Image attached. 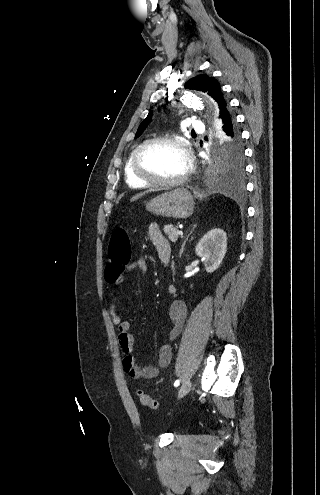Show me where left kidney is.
I'll list each match as a JSON object with an SVG mask.
<instances>
[{"label": "left kidney", "instance_id": "obj_1", "mask_svg": "<svg viewBox=\"0 0 320 495\" xmlns=\"http://www.w3.org/2000/svg\"><path fill=\"white\" fill-rule=\"evenodd\" d=\"M227 251V236L222 229H212L198 242L195 252L204 262L207 272H214Z\"/></svg>", "mask_w": 320, "mask_h": 495}]
</instances>
